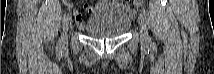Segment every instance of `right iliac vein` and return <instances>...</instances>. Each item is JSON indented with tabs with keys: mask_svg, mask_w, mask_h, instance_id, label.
<instances>
[{
	"mask_svg": "<svg viewBox=\"0 0 214 74\" xmlns=\"http://www.w3.org/2000/svg\"><path fill=\"white\" fill-rule=\"evenodd\" d=\"M71 24H72V18H71V16H68V18L64 22V27H63L64 36H63V40L67 39V31H68L69 27L71 26Z\"/></svg>",
	"mask_w": 214,
	"mask_h": 74,
	"instance_id": "1",
	"label": "right iliac vein"
}]
</instances>
